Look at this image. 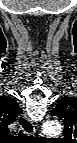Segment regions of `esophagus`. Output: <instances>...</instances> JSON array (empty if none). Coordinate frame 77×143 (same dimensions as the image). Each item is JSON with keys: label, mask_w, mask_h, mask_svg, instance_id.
I'll return each instance as SVG.
<instances>
[{"label": "esophagus", "mask_w": 77, "mask_h": 143, "mask_svg": "<svg viewBox=\"0 0 77 143\" xmlns=\"http://www.w3.org/2000/svg\"><path fill=\"white\" fill-rule=\"evenodd\" d=\"M18 125L20 126L21 130L27 134H33L35 133V127L34 124L32 122V120L25 114L21 115L18 117Z\"/></svg>", "instance_id": "1"}]
</instances>
